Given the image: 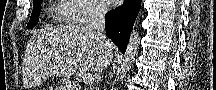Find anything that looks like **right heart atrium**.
<instances>
[{
	"label": "right heart atrium",
	"mask_w": 216,
	"mask_h": 90,
	"mask_svg": "<svg viewBox=\"0 0 216 90\" xmlns=\"http://www.w3.org/2000/svg\"><path fill=\"white\" fill-rule=\"evenodd\" d=\"M63 2L72 3L73 6H79L81 12L76 15V20H95L103 12V8L97 5L95 0H63Z\"/></svg>",
	"instance_id": "1"
}]
</instances>
